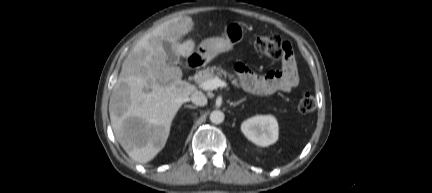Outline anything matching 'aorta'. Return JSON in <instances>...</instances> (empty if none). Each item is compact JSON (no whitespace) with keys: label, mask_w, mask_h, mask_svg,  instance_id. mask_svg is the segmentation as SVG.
Here are the masks:
<instances>
[{"label":"aorta","mask_w":432,"mask_h":193,"mask_svg":"<svg viewBox=\"0 0 432 193\" xmlns=\"http://www.w3.org/2000/svg\"><path fill=\"white\" fill-rule=\"evenodd\" d=\"M225 115L220 110H214L210 113L209 119L214 124H221L224 121Z\"/></svg>","instance_id":"762f6f07"}]
</instances>
